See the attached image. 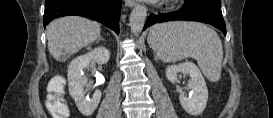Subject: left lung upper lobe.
Listing matches in <instances>:
<instances>
[{
  "mask_svg": "<svg viewBox=\"0 0 273 118\" xmlns=\"http://www.w3.org/2000/svg\"><path fill=\"white\" fill-rule=\"evenodd\" d=\"M193 3H200L210 6L218 11H221V1L220 0H187Z\"/></svg>",
  "mask_w": 273,
  "mask_h": 118,
  "instance_id": "5c2ea615",
  "label": "left lung upper lobe"
}]
</instances>
